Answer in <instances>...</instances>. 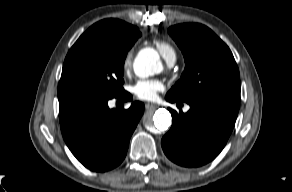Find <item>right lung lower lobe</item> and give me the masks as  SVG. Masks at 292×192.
I'll return each instance as SVG.
<instances>
[{"label": "right lung lower lobe", "mask_w": 292, "mask_h": 192, "mask_svg": "<svg viewBox=\"0 0 292 192\" xmlns=\"http://www.w3.org/2000/svg\"><path fill=\"white\" fill-rule=\"evenodd\" d=\"M112 98L132 100L126 91L116 97L74 88L58 91L63 138L73 155L96 172L111 170L124 160L130 137L143 115L142 102H132L129 109H110L108 101Z\"/></svg>", "instance_id": "1"}]
</instances>
